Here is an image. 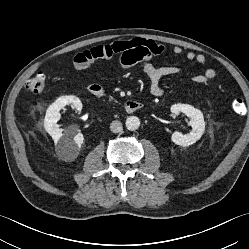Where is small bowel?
<instances>
[{
    "label": "small bowel",
    "instance_id": "c3829d8e",
    "mask_svg": "<svg viewBox=\"0 0 249 249\" xmlns=\"http://www.w3.org/2000/svg\"><path fill=\"white\" fill-rule=\"evenodd\" d=\"M163 45L142 38H134L130 40H115L105 45H99L83 52L78 53L74 58V63L78 71H87L92 64L98 59H109L115 55L119 56V63L123 69H129L140 64L143 72L149 81V91L153 96H162L164 89L161 86L163 78L178 75L182 69L177 66H162L152 62L154 56H158L164 52ZM173 53L180 55L182 48L175 46ZM188 61L196 62L200 65L204 64L206 58L203 54L189 51L186 53ZM216 76V72L212 68L205 69L202 73L195 74L192 80L197 84H206ZM99 86L98 84H93Z\"/></svg>",
    "mask_w": 249,
    "mask_h": 249
}]
</instances>
